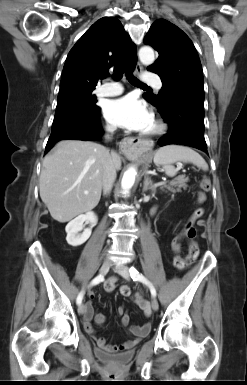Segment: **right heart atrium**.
Returning <instances> with one entry per match:
<instances>
[{"label":"right heart atrium","instance_id":"obj_1","mask_svg":"<svg viewBox=\"0 0 247 385\" xmlns=\"http://www.w3.org/2000/svg\"><path fill=\"white\" fill-rule=\"evenodd\" d=\"M106 130H107V131H112V130H113V127L110 126V125H107V126H106Z\"/></svg>","mask_w":247,"mask_h":385}]
</instances>
